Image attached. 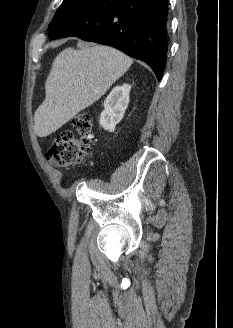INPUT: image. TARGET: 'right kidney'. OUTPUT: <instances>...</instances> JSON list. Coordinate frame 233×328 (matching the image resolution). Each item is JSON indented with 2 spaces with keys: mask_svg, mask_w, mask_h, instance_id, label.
Here are the masks:
<instances>
[{
  "mask_svg": "<svg viewBox=\"0 0 233 328\" xmlns=\"http://www.w3.org/2000/svg\"><path fill=\"white\" fill-rule=\"evenodd\" d=\"M131 86L124 84L116 86L104 101V110L100 115V126L109 132H114L116 125L123 119L129 104Z\"/></svg>",
  "mask_w": 233,
  "mask_h": 328,
  "instance_id": "obj_1",
  "label": "right kidney"
}]
</instances>
